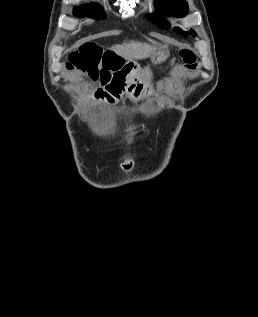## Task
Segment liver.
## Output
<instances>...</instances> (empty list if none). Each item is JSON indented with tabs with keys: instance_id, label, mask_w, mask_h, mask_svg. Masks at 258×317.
<instances>
[{
	"instance_id": "6515ba94",
	"label": "liver",
	"mask_w": 258,
	"mask_h": 317,
	"mask_svg": "<svg viewBox=\"0 0 258 317\" xmlns=\"http://www.w3.org/2000/svg\"><path fill=\"white\" fill-rule=\"evenodd\" d=\"M161 48H168L167 44H147V42H138V40H130V42H123V44H114L112 50L123 56L125 60H136V58H153L155 54H160Z\"/></svg>"
}]
</instances>
